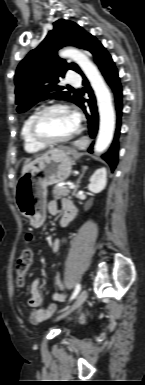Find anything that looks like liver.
<instances>
[{
	"label": "liver",
	"instance_id": "1",
	"mask_svg": "<svg viewBox=\"0 0 145 385\" xmlns=\"http://www.w3.org/2000/svg\"><path fill=\"white\" fill-rule=\"evenodd\" d=\"M36 160H37V159H36ZM36 160H34V161H32V162H30V163H28V164H25V165L23 166V168H22V176H23L26 172H28V170L30 169V167L32 166V164H33Z\"/></svg>",
	"mask_w": 145,
	"mask_h": 385
}]
</instances>
